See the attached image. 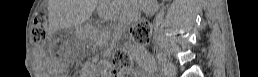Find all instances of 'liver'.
I'll return each instance as SVG.
<instances>
[{
	"mask_svg": "<svg viewBox=\"0 0 258 77\" xmlns=\"http://www.w3.org/2000/svg\"><path fill=\"white\" fill-rule=\"evenodd\" d=\"M63 21L67 25H75L76 23V2L68 0L63 10Z\"/></svg>",
	"mask_w": 258,
	"mask_h": 77,
	"instance_id": "liver-1",
	"label": "liver"
}]
</instances>
